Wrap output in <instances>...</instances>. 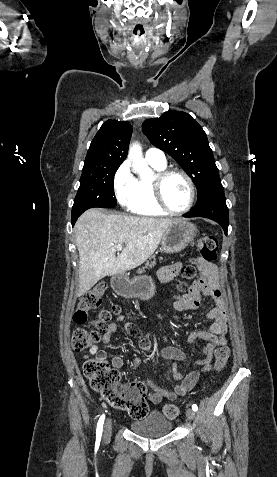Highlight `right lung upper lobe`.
Masks as SVG:
<instances>
[{
  "label": "right lung upper lobe",
  "instance_id": "cb5924a9",
  "mask_svg": "<svg viewBox=\"0 0 277 477\" xmlns=\"http://www.w3.org/2000/svg\"><path fill=\"white\" fill-rule=\"evenodd\" d=\"M132 126L127 121L107 120L92 140L82 172L119 167L127 156Z\"/></svg>",
  "mask_w": 277,
  "mask_h": 477
}]
</instances>
